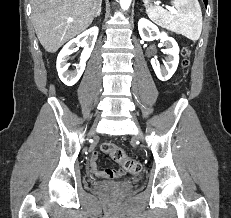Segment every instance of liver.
Listing matches in <instances>:
<instances>
[{
    "mask_svg": "<svg viewBox=\"0 0 231 218\" xmlns=\"http://www.w3.org/2000/svg\"><path fill=\"white\" fill-rule=\"evenodd\" d=\"M101 3L102 0H31L32 22L44 49L55 53L87 29Z\"/></svg>",
    "mask_w": 231,
    "mask_h": 218,
    "instance_id": "obj_1",
    "label": "liver"
}]
</instances>
